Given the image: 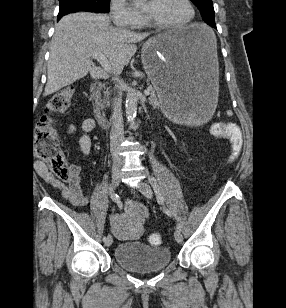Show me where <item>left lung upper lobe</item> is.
I'll use <instances>...</instances> for the list:
<instances>
[{"instance_id":"1","label":"left lung upper lobe","mask_w":286,"mask_h":308,"mask_svg":"<svg viewBox=\"0 0 286 308\" xmlns=\"http://www.w3.org/2000/svg\"><path fill=\"white\" fill-rule=\"evenodd\" d=\"M200 10L201 16L207 24L215 23L212 0H191Z\"/></svg>"}]
</instances>
